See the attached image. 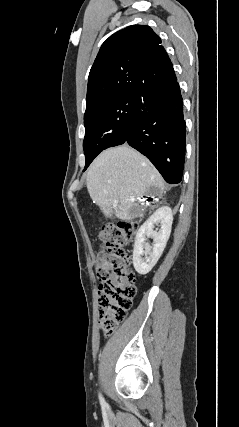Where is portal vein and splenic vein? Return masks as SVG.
Wrapping results in <instances>:
<instances>
[{"instance_id":"obj_1","label":"portal vein and splenic vein","mask_w":239,"mask_h":427,"mask_svg":"<svg viewBox=\"0 0 239 427\" xmlns=\"http://www.w3.org/2000/svg\"><path fill=\"white\" fill-rule=\"evenodd\" d=\"M118 202L117 201H113V204L116 205Z\"/></svg>"}]
</instances>
